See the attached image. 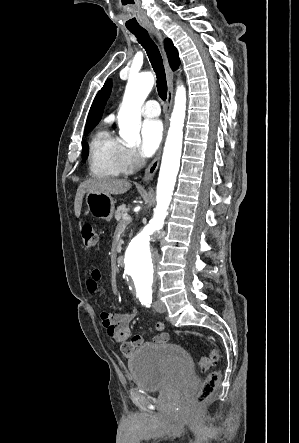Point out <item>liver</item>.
Returning <instances> with one entry per match:
<instances>
[{
  "mask_svg": "<svg viewBox=\"0 0 299 443\" xmlns=\"http://www.w3.org/2000/svg\"><path fill=\"white\" fill-rule=\"evenodd\" d=\"M131 188V183L125 179L117 178H96L82 182L75 196L74 212L76 217L81 214L82 200L86 193H104L108 195H120L126 193Z\"/></svg>",
  "mask_w": 299,
  "mask_h": 443,
  "instance_id": "liver-1",
  "label": "liver"
}]
</instances>
